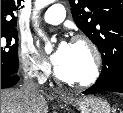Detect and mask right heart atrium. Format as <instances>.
Segmentation results:
<instances>
[{"label": "right heart atrium", "instance_id": "d8ad5b80", "mask_svg": "<svg viewBox=\"0 0 123 113\" xmlns=\"http://www.w3.org/2000/svg\"><path fill=\"white\" fill-rule=\"evenodd\" d=\"M19 61L24 73L38 81H42L50 71L47 61L28 41H22L20 44Z\"/></svg>", "mask_w": 123, "mask_h": 113}]
</instances>
